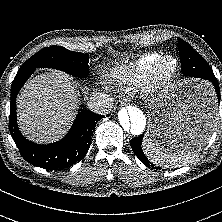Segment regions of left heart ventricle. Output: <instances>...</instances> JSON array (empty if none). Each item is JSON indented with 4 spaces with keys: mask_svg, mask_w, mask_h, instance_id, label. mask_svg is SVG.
I'll return each instance as SVG.
<instances>
[{
    "mask_svg": "<svg viewBox=\"0 0 222 222\" xmlns=\"http://www.w3.org/2000/svg\"><path fill=\"white\" fill-rule=\"evenodd\" d=\"M171 67H172V62H166L163 66V71L167 72L171 69Z\"/></svg>",
    "mask_w": 222,
    "mask_h": 222,
    "instance_id": "left-heart-ventricle-1",
    "label": "left heart ventricle"
}]
</instances>
